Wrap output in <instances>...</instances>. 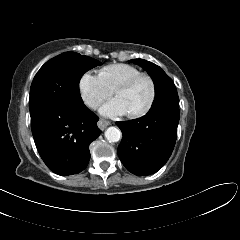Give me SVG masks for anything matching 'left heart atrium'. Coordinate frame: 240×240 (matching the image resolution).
Returning <instances> with one entry per match:
<instances>
[{
    "label": "left heart atrium",
    "instance_id": "obj_1",
    "mask_svg": "<svg viewBox=\"0 0 240 240\" xmlns=\"http://www.w3.org/2000/svg\"><path fill=\"white\" fill-rule=\"evenodd\" d=\"M100 113L107 117H118L130 113L125 101L120 97H115L106 102L101 108Z\"/></svg>",
    "mask_w": 240,
    "mask_h": 240
}]
</instances>
